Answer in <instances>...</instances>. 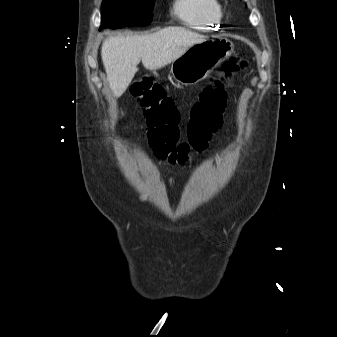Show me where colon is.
Masks as SVG:
<instances>
[{"instance_id":"5ec220e1","label":"colon","mask_w":337,"mask_h":337,"mask_svg":"<svg viewBox=\"0 0 337 337\" xmlns=\"http://www.w3.org/2000/svg\"><path fill=\"white\" fill-rule=\"evenodd\" d=\"M246 66V61L233 57L223 64L220 74L202 88L191 111L185 140H180L178 108L162 86L149 75L132 83L130 91L143 110L149 145L157 158L183 163L192 154H200L208 148L222 124L226 105L224 87L232 74Z\"/></svg>"}]
</instances>
